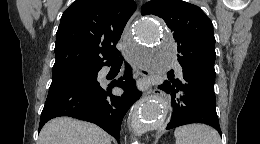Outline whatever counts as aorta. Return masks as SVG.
I'll return each instance as SVG.
<instances>
[{"instance_id": "762f6f07", "label": "aorta", "mask_w": 260, "mask_h": 144, "mask_svg": "<svg viewBox=\"0 0 260 144\" xmlns=\"http://www.w3.org/2000/svg\"><path fill=\"white\" fill-rule=\"evenodd\" d=\"M139 42L149 49L137 48L136 53L144 65L162 67L164 59L174 49L173 40L163 33L158 21L144 17L135 26ZM166 105L156 98H145L135 104L132 109L129 125L136 135L162 126L165 123Z\"/></svg>"}]
</instances>
